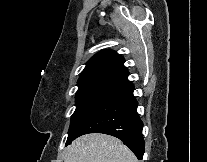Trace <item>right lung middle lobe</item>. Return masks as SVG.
Listing matches in <instances>:
<instances>
[{
	"mask_svg": "<svg viewBox=\"0 0 207 162\" xmlns=\"http://www.w3.org/2000/svg\"><path fill=\"white\" fill-rule=\"evenodd\" d=\"M114 90L115 88L103 86L78 89L76 93V110L71 117L67 141L73 136L83 120Z\"/></svg>",
	"mask_w": 207,
	"mask_h": 162,
	"instance_id": "right-lung-middle-lobe-1",
	"label": "right lung middle lobe"
}]
</instances>
